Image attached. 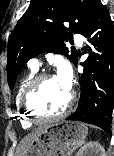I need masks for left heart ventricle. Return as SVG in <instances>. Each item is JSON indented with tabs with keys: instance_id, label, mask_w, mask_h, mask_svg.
Segmentation results:
<instances>
[{
	"instance_id": "left-heart-ventricle-1",
	"label": "left heart ventricle",
	"mask_w": 114,
	"mask_h": 156,
	"mask_svg": "<svg viewBox=\"0 0 114 156\" xmlns=\"http://www.w3.org/2000/svg\"><path fill=\"white\" fill-rule=\"evenodd\" d=\"M69 91L65 90L56 77L43 81L30 98L31 107L41 115H54L64 109Z\"/></svg>"
}]
</instances>
